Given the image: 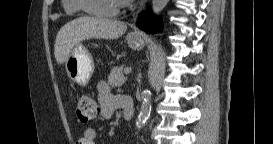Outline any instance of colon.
<instances>
[{"label":"colon","instance_id":"1","mask_svg":"<svg viewBox=\"0 0 273 144\" xmlns=\"http://www.w3.org/2000/svg\"><path fill=\"white\" fill-rule=\"evenodd\" d=\"M99 112L97 102L90 95H80L77 101L76 114L78 120L85 124L94 119Z\"/></svg>","mask_w":273,"mask_h":144}]
</instances>
